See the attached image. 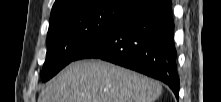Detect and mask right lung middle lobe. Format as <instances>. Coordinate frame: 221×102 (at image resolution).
I'll use <instances>...</instances> for the list:
<instances>
[{"mask_svg": "<svg viewBox=\"0 0 221 102\" xmlns=\"http://www.w3.org/2000/svg\"><path fill=\"white\" fill-rule=\"evenodd\" d=\"M134 9L129 0H84L51 16L42 81L49 80L67 64L77 60L87 47Z\"/></svg>", "mask_w": 221, "mask_h": 102, "instance_id": "dd1d6c3e", "label": "right lung middle lobe"}]
</instances>
